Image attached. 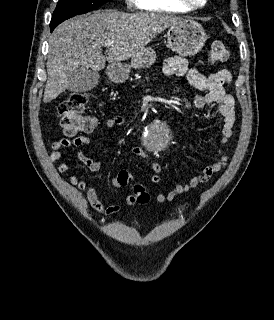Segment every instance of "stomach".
<instances>
[{
    "label": "stomach",
    "instance_id": "obj_1",
    "mask_svg": "<svg viewBox=\"0 0 274 320\" xmlns=\"http://www.w3.org/2000/svg\"><path fill=\"white\" fill-rule=\"evenodd\" d=\"M168 48L178 56H195L202 50L206 42L205 30L201 24L193 20H178L167 32ZM156 62V54L151 48H144L132 58L131 64H111L106 70L109 80L121 84L129 76L131 68L142 70Z\"/></svg>",
    "mask_w": 274,
    "mask_h": 320
}]
</instances>
